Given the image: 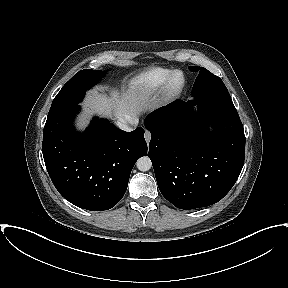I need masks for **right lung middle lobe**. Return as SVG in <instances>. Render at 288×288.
I'll return each instance as SVG.
<instances>
[{
	"label": "right lung middle lobe",
	"mask_w": 288,
	"mask_h": 288,
	"mask_svg": "<svg viewBox=\"0 0 288 288\" xmlns=\"http://www.w3.org/2000/svg\"><path fill=\"white\" fill-rule=\"evenodd\" d=\"M105 73L101 70L91 69L79 71L62 87L54 98L47 118L81 102L85 91L95 85Z\"/></svg>",
	"instance_id": "obj_1"
}]
</instances>
